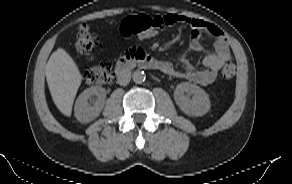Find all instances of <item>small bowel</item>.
I'll list each match as a JSON object with an SVG mask.
<instances>
[{
  "label": "small bowel",
  "instance_id": "1",
  "mask_svg": "<svg viewBox=\"0 0 292 184\" xmlns=\"http://www.w3.org/2000/svg\"><path fill=\"white\" fill-rule=\"evenodd\" d=\"M161 28L176 24H184L191 29V37L189 43V52H201L204 50L201 43V36L207 33L214 38V49L206 51L203 57L204 68L193 67L186 56L181 60L183 71H178L170 63H167L168 70L166 73L184 78L188 81L199 85H208L212 83L221 67L231 60L232 55L229 44L224 36V33L216 25L203 21L197 18H191L178 14H166L163 16H155Z\"/></svg>",
  "mask_w": 292,
  "mask_h": 184
}]
</instances>
